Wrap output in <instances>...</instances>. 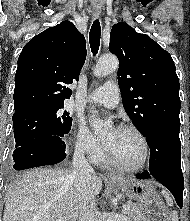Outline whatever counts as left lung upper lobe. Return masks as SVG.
Here are the masks:
<instances>
[{
    "mask_svg": "<svg viewBox=\"0 0 190 221\" xmlns=\"http://www.w3.org/2000/svg\"><path fill=\"white\" fill-rule=\"evenodd\" d=\"M109 50L119 59L123 105L138 130L146 136L159 125L180 126L179 79L171 55L124 22L113 26Z\"/></svg>",
    "mask_w": 190,
    "mask_h": 221,
    "instance_id": "obj_1",
    "label": "left lung upper lobe"
}]
</instances>
